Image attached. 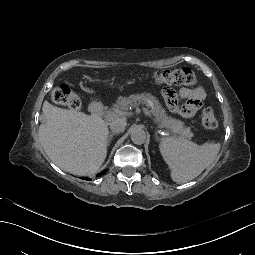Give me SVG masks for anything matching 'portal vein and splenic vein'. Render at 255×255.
<instances>
[{
    "instance_id": "1",
    "label": "portal vein and splenic vein",
    "mask_w": 255,
    "mask_h": 255,
    "mask_svg": "<svg viewBox=\"0 0 255 255\" xmlns=\"http://www.w3.org/2000/svg\"><path fill=\"white\" fill-rule=\"evenodd\" d=\"M140 112L144 115L149 116V119L151 120V124H155V127H158V130H163V125H160V122H156V119H153L152 114L149 113V110L145 106H142L140 108ZM116 114H123V111H114L112 113L105 114L103 115V118H106L108 116H114Z\"/></svg>"
}]
</instances>
